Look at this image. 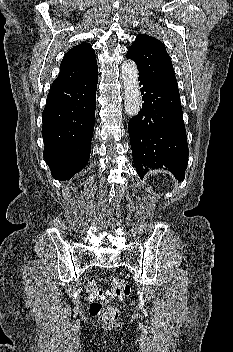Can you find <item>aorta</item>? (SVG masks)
Returning a JSON list of instances; mask_svg holds the SVG:
<instances>
[{
    "label": "aorta",
    "mask_w": 233,
    "mask_h": 352,
    "mask_svg": "<svg viewBox=\"0 0 233 352\" xmlns=\"http://www.w3.org/2000/svg\"><path fill=\"white\" fill-rule=\"evenodd\" d=\"M121 69L125 112L130 116H135L140 111L142 104L137 66L129 60L122 64Z\"/></svg>",
    "instance_id": "obj_1"
}]
</instances>
